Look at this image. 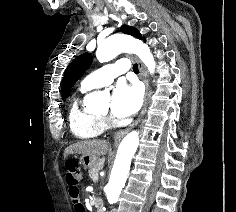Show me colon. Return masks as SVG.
Instances as JSON below:
<instances>
[{
  "label": "colon",
  "mask_w": 236,
  "mask_h": 212,
  "mask_svg": "<svg viewBox=\"0 0 236 212\" xmlns=\"http://www.w3.org/2000/svg\"><path fill=\"white\" fill-rule=\"evenodd\" d=\"M66 170V181L68 184L71 182V179H78V185L84 180L83 171L76 161H68L66 163Z\"/></svg>",
  "instance_id": "1"
}]
</instances>
